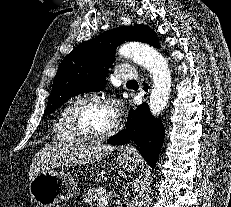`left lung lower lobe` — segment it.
Masks as SVG:
<instances>
[{"label": "left lung lower lobe", "mask_w": 231, "mask_h": 207, "mask_svg": "<svg viewBox=\"0 0 231 207\" xmlns=\"http://www.w3.org/2000/svg\"><path fill=\"white\" fill-rule=\"evenodd\" d=\"M145 89H148L145 84ZM165 130L161 121L151 116L148 104L131 108L126 129L111 137L107 142L113 145L126 143L130 139L139 146V152L152 168L159 156L164 141Z\"/></svg>", "instance_id": "left-lung-lower-lobe-1"}]
</instances>
